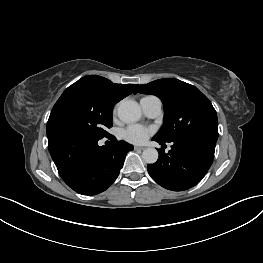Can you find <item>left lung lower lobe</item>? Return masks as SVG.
<instances>
[{"label": "left lung lower lobe", "mask_w": 263, "mask_h": 263, "mask_svg": "<svg viewBox=\"0 0 263 263\" xmlns=\"http://www.w3.org/2000/svg\"><path fill=\"white\" fill-rule=\"evenodd\" d=\"M159 144L162 142L152 139ZM171 150L159 149V159L147 166L152 179L162 187L187 190L198 184L206 175L213 159L216 142L205 139H177L171 141Z\"/></svg>", "instance_id": "0a47b994"}]
</instances>
